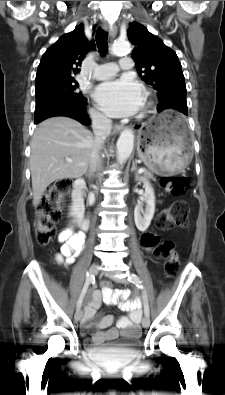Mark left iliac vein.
I'll return each instance as SVG.
<instances>
[{"instance_id":"left-iliac-vein-1","label":"left iliac vein","mask_w":225,"mask_h":395,"mask_svg":"<svg viewBox=\"0 0 225 395\" xmlns=\"http://www.w3.org/2000/svg\"><path fill=\"white\" fill-rule=\"evenodd\" d=\"M114 280H115L116 282L122 283V284L128 283V281H127L126 278L114 277ZM149 325H150L149 316H144L143 319H142V326H143L144 328H148Z\"/></svg>"}]
</instances>
